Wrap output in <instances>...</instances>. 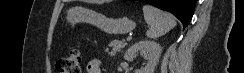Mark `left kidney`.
I'll return each instance as SVG.
<instances>
[{"label": "left kidney", "instance_id": "5707ae66", "mask_svg": "<svg viewBox=\"0 0 244 73\" xmlns=\"http://www.w3.org/2000/svg\"><path fill=\"white\" fill-rule=\"evenodd\" d=\"M161 47L154 41L142 40L132 45L125 53L124 59L133 60L137 53H147V64L141 69H137L135 73H153L161 56Z\"/></svg>", "mask_w": 244, "mask_h": 73}]
</instances>
